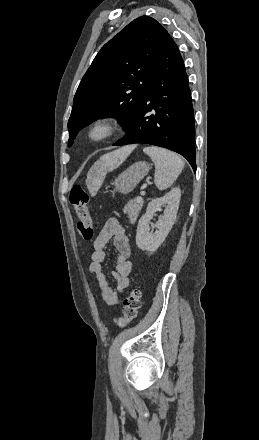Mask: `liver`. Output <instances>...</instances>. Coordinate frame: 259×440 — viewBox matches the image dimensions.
Returning a JSON list of instances; mask_svg holds the SVG:
<instances>
[{
    "mask_svg": "<svg viewBox=\"0 0 259 440\" xmlns=\"http://www.w3.org/2000/svg\"><path fill=\"white\" fill-rule=\"evenodd\" d=\"M134 148L135 146H126L103 155L90 171V173H92L94 185L90 189L93 191L98 190L105 178L106 173L118 168L126 160Z\"/></svg>",
    "mask_w": 259,
    "mask_h": 440,
    "instance_id": "1",
    "label": "liver"
}]
</instances>
